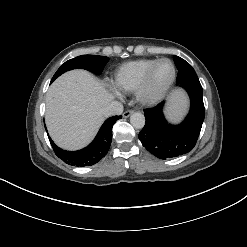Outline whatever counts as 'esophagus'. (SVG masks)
Returning <instances> with one entry per match:
<instances>
[{
	"label": "esophagus",
	"instance_id": "34e87169",
	"mask_svg": "<svg viewBox=\"0 0 247 247\" xmlns=\"http://www.w3.org/2000/svg\"><path fill=\"white\" fill-rule=\"evenodd\" d=\"M134 112V110H127L123 113V117L127 118L129 117L132 113Z\"/></svg>",
	"mask_w": 247,
	"mask_h": 247
}]
</instances>
